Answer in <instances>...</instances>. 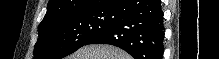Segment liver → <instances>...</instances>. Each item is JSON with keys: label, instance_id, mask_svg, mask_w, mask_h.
Instances as JSON below:
<instances>
[{"label": "liver", "instance_id": "liver-1", "mask_svg": "<svg viewBox=\"0 0 219 59\" xmlns=\"http://www.w3.org/2000/svg\"><path fill=\"white\" fill-rule=\"evenodd\" d=\"M66 59H132L123 50L109 45H88Z\"/></svg>", "mask_w": 219, "mask_h": 59}]
</instances>
